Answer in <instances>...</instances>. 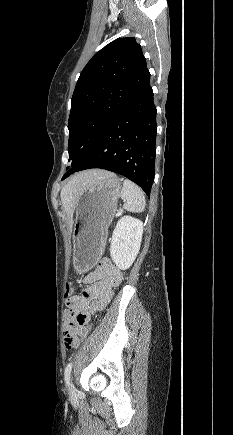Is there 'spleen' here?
Instances as JSON below:
<instances>
[{
  "label": "spleen",
  "instance_id": "obj_1",
  "mask_svg": "<svg viewBox=\"0 0 233 435\" xmlns=\"http://www.w3.org/2000/svg\"><path fill=\"white\" fill-rule=\"evenodd\" d=\"M121 198L124 200V208L130 212H143L146 201L142 189L132 181L125 179L121 190Z\"/></svg>",
  "mask_w": 233,
  "mask_h": 435
}]
</instances>
